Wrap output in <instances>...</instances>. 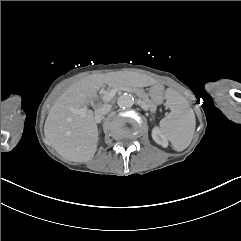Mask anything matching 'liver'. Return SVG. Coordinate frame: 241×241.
I'll use <instances>...</instances> for the list:
<instances>
[{"label": "liver", "instance_id": "obj_1", "mask_svg": "<svg viewBox=\"0 0 241 241\" xmlns=\"http://www.w3.org/2000/svg\"><path fill=\"white\" fill-rule=\"evenodd\" d=\"M123 76L115 72L93 74L72 84L53 104L44 125L46 139L65 159L73 162L91 160L98 149V127L92 110L85 117L72 113L70 107L80 109L94 98L104 84H120Z\"/></svg>", "mask_w": 241, "mask_h": 241}]
</instances>
